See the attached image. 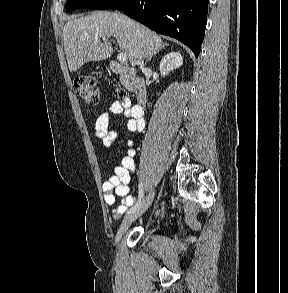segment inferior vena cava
Listing matches in <instances>:
<instances>
[{"label":"inferior vena cava","mask_w":288,"mask_h":293,"mask_svg":"<svg viewBox=\"0 0 288 293\" xmlns=\"http://www.w3.org/2000/svg\"><path fill=\"white\" fill-rule=\"evenodd\" d=\"M139 65H140L141 69L144 68V62H143V56L142 55L139 57Z\"/></svg>","instance_id":"1"}]
</instances>
